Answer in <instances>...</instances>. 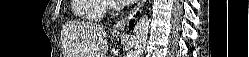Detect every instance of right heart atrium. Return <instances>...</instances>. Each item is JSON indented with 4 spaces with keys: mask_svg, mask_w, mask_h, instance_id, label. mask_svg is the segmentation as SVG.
I'll list each match as a JSON object with an SVG mask.
<instances>
[{
    "mask_svg": "<svg viewBox=\"0 0 249 57\" xmlns=\"http://www.w3.org/2000/svg\"><path fill=\"white\" fill-rule=\"evenodd\" d=\"M105 2V10L106 11H110V10H113L115 8V4L113 1H104Z\"/></svg>",
    "mask_w": 249,
    "mask_h": 57,
    "instance_id": "1",
    "label": "right heart atrium"
}]
</instances>
